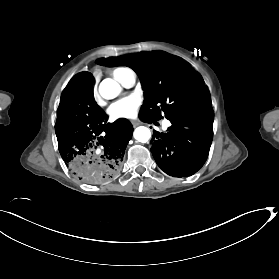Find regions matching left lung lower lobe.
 I'll use <instances>...</instances> for the list:
<instances>
[{
	"mask_svg": "<svg viewBox=\"0 0 279 279\" xmlns=\"http://www.w3.org/2000/svg\"><path fill=\"white\" fill-rule=\"evenodd\" d=\"M141 117V116H140ZM152 121L149 117H141ZM212 111L170 120L167 133L154 131L151 152L166 174L186 177L196 173L205 163L213 137Z\"/></svg>",
	"mask_w": 279,
	"mask_h": 279,
	"instance_id": "left-lung-lower-lobe-1",
	"label": "left lung lower lobe"
}]
</instances>
